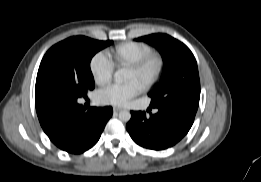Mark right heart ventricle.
<instances>
[{
  "instance_id": "obj_1",
  "label": "right heart ventricle",
  "mask_w": 261,
  "mask_h": 182,
  "mask_svg": "<svg viewBox=\"0 0 261 182\" xmlns=\"http://www.w3.org/2000/svg\"><path fill=\"white\" fill-rule=\"evenodd\" d=\"M152 53L149 45L141 42H124L118 44L111 53L114 66H129Z\"/></svg>"
}]
</instances>
